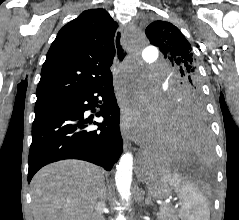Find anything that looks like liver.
Segmentation results:
<instances>
[{
  "mask_svg": "<svg viewBox=\"0 0 239 220\" xmlns=\"http://www.w3.org/2000/svg\"><path fill=\"white\" fill-rule=\"evenodd\" d=\"M104 170L79 160L49 164L31 182L34 220H91Z\"/></svg>",
  "mask_w": 239,
  "mask_h": 220,
  "instance_id": "liver-1",
  "label": "liver"
}]
</instances>
